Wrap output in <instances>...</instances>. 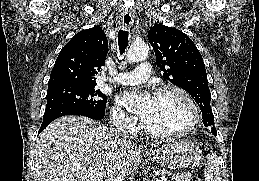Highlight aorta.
Wrapping results in <instances>:
<instances>
[{"label": "aorta", "mask_w": 259, "mask_h": 181, "mask_svg": "<svg viewBox=\"0 0 259 181\" xmlns=\"http://www.w3.org/2000/svg\"><path fill=\"white\" fill-rule=\"evenodd\" d=\"M149 47L145 43L133 44L126 55V59L130 63L143 61L148 57Z\"/></svg>", "instance_id": "762f6f07"}]
</instances>
